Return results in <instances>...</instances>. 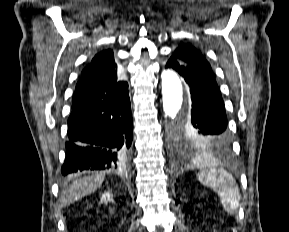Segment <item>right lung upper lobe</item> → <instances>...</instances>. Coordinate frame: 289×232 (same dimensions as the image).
Returning <instances> with one entry per match:
<instances>
[{
	"mask_svg": "<svg viewBox=\"0 0 289 232\" xmlns=\"http://www.w3.org/2000/svg\"><path fill=\"white\" fill-rule=\"evenodd\" d=\"M128 90V83L118 71L113 51L95 55L85 67L76 85L72 107L84 106L120 96Z\"/></svg>",
	"mask_w": 289,
	"mask_h": 232,
	"instance_id": "right-lung-upper-lobe-1",
	"label": "right lung upper lobe"
}]
</instances>
